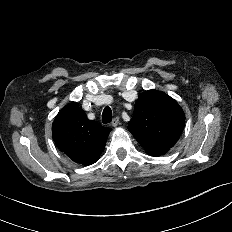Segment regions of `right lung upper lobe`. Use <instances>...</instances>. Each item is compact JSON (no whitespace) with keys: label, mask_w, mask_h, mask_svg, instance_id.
Masks as SVG:
<instances>
[{"label":"right lung upper lobe","mask_w":232,"mask_h":232,"mask_svg":"<svg viewBox=\"0 0 232 232\" xmlns=\"http://www.w3.org/2000/svg\"><path fill=\"white\" fill-rule=\"evenodd\" d=\"M111 128L87 118L76 102L66 105L52 125L53 140L74 162L95 163L103 152Z\"/></svg>","instance_id":"cb5924a9"}]
</instances>
